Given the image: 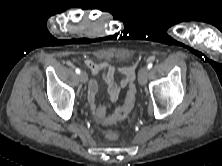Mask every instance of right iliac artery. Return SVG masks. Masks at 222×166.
<instances>
[{
  "mask_svg": "<svg viewBox=\"0 0 222 166\" xmlns=\"http://www.w3.org/2000/svg\"><path fill=\"white\" fill-rule=\"evenodd\" d=\"M75 71H76L77 74H80V69L79 68H76Z\"/></svg>",
  "mask_w": 222,
  "mask_h": 166,
  "instance_id": "right-iliac-artery-1",
  "label": "right iliac artery"
}]
</instances>
